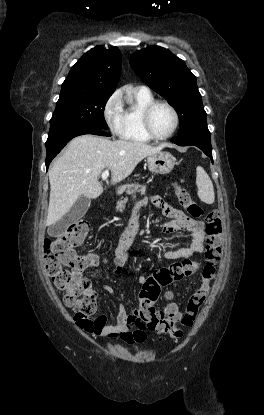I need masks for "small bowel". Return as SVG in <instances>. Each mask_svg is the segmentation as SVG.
<instances>
[{"label": "small bowel", "mask_w": 264, "mask_h": 415, "mask_svg": "<svg viewBox=\"0 0 264 415\" xmlns=\"http://www.w3.org/2000/svg\"><path fill=\"white\" fill-rule=\"evenodd\" d=\"M152 202L161 209L164 216L169 218V221L163 224V234L172 235L181 230H186L189 233V243L186 246L168 249L164 252V256L167 259L175 260L189 258L195 254L202 253L205 239L204 224L201 221L187 217L182 211L164 204L159 196H153ZM134 218L140 220V210L129 219L123 239L115 251L114 265L111 270L113 276L119 275L129 260L130 250L133 246V239L137 229V227L133 226ZM148 279H150L149 276L142 275L139 277V283L144 285ZM107 291L111 294L114 293L110 286L107 287ZM137 313L138 309L134 310L132 314H128L124 305L121 304L115 323L107 324V315L102 313L94 320L93 328L88 330L97 335L119 336L128 343L143 341L146 338V333L135 327ZM138 335L141 337L140 340L136 339Z\"/></svg>", "instance_id": "1"}]
</instances>
